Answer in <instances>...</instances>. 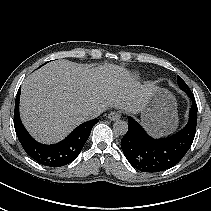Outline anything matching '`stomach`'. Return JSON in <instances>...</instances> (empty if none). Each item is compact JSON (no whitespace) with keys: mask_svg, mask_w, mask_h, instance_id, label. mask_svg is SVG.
<instances>
[{"mask_svg":"<svg viewBox=\"0 0 211 211\" xmlns=\"http://www.w3.org/2000/svg\"><path fill=\"white\" fill-rule=\"evenodd\" d=\"M176 109L174 96L165 88L155 87L141 112V122L156 137L170 134L178 125Z\"/></svg>","mask_w":211,"mask_h":211,"instance_id":"0dacf381","label":"stomach"}]
</instances>
